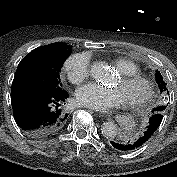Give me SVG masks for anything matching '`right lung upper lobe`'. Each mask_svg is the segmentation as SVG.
I'll use <instances>...</instances> for the list:
<instances>
[{"label":"right lung upper lobe","instance_id":"cb5924a9","mask_svg":"<svg viewBox=\"0 0 177 177\" xmlns=\"http://www.w3.org/2000/svg\"><path fill=\"white\" fill-rule=\"evenodd\" d=\"M71 48L72 46L61 42L52 43L32 50L21 62L34 61L48 65L54 63L63 56H70Z\"/></svg>","mask_w":177,"mask_h":177}]
</instances>
